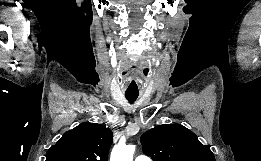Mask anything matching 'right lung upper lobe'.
<instances>
[{"label": "right lung upper lobe", "mask_w": 261, "mask_h": 161, "mask_svg": "<svg viewBox=\"0 0 261 161\" xmlns=\"http://www.w3.org/2000/svg\"><path fill=\"white\" fill-rule=\"evenodd\" d=\"M113 134L97 123H81L50 147L46 161H107Z\"/></svg>", "instance_id": "right-lung-upper-lobe-1"}]
</instances>
